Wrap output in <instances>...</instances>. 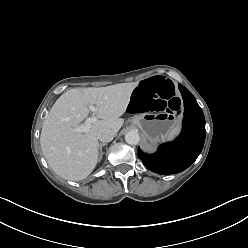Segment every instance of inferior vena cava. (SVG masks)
I'll return each instance as SVG.
<instances>
[{"mask_svg":"<svg viewBox=\"0 0 248 248\" xmlns=\"http://www.w3.org/2000/svg\"><path fill=\"white\" fill-rule=\"evenodd\" d=\"M114 136V131L109 128H103L97 134V138L103 143L112 141Z\"/></svg>","mask_w":248,"mask_h":248,"instance_id":"602c4592","label":"inferior vena cava"}]
</instances>
